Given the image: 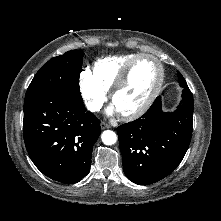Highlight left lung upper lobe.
I'll list each match as a JSON object with an SVG mask.
<instances>
[{
    "label": "left lung upper lobe",
    "instance_id": "obj_1",
    "mask_svg": "<svg viewBox=\"0 0 221 221\" xmlns=\"http://www.w3.org/2000/svg\"><path fill=\"white\" fill-rule=\"evenodd\" d=\"M178 77H179V82L181 83V84H186V81H185V79L183 78V76L178 72Z\"/></svg>",
    "mask_w": 221,
    "mask_h": 221
}]
</instances>
